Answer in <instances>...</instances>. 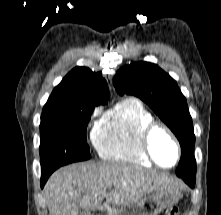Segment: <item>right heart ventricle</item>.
I'll list each match as a JSON object with an SVG mask.
<instances>
[{"label": "right heart ventricle", "mask_w": 221, "mask_h": 215, "mask_svg": "<svg viewBox=\"0 0 221 215\" xmlns=\"http://www.w3.org/2000/svg\"><path fill=\"white\" fill-rule=\"evenodd\" d=\"M152 121L154 117L142 101L126 98L102 116L92 133L93 145L103 159L149 167L140 134Z\"/></svg>", "instance_id": "right-heart-ventricle-1"}]
</instances>
